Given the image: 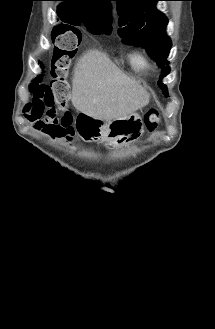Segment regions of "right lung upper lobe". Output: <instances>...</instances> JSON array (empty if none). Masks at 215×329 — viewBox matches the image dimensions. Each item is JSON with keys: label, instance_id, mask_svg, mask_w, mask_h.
I'll list each match as a JSON object with an SVG mask.
<instances>
[{"label": "right lung upper lobe", "instance_id": "obj_1", "mask_svg": "<svg viewBox=\"0 0 215 329\" xmlns=\"http://www.w3.org/2000/svg\"><path fill=\"white\" fill-rule=\"evenodd\" d=\"M64 1L59 5L57 13L59 18L67 22L71 18L80 17L85 23L97 27L103 32L111 33L112 16L111 0H59ZM90 3L92 5H90ZM69 26V25H67Z\"/></svg>", "mask_w": 215, "mask_h": 329}]
</instances>
